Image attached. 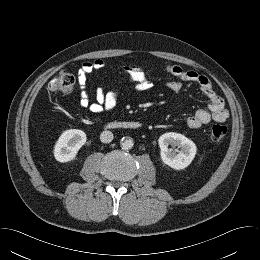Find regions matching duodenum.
Here are the masks:
<instances>
[{
	"mask_svg": "<svg viewBox=\"0 0 260 260\" xmlns=\"http://www.w3.org/2000/svg\"><path fill=\"white\" fill-rule=\"evenodd\" d=\"M141 122L126 121V122H111L108 124V128L111 129H127V130H140L142 128Z\"/></svg>",
	"mask_w": 260,
	"mask_h": 260,
	"instance_id": "obj_1",
	"label": "duodenum"
}]
</instances>
